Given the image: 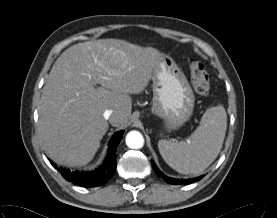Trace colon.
I'll return each mask as SVG.
<instances>
[{
    "mask_svg": "<svg viewBox=\"0 0 277 218\" xmlns=\"http://www.w3.org/2000/svg\"><path fill=\"white\" fill-rule=\"evenodd\" d=\"M189 70L194 91L200 96H207L210 92V80L203 63L198 60H192Z\"/></svg>",
    "mask_w": 277,
    "mask_h": 218,
    "instance_id": "5ec220e1",
    "label": "colon"
}]
</instances>
